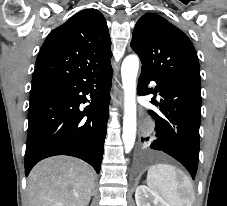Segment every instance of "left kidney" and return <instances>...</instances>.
Returning <instances> with one entry per match:
<instances>
[{
  "instance_id": "left-kidney-1",
  "label": "left kidney",
  "mask_w": 227,
  "mask_h": 206,
  "mask_svg": "<svg viewBox=\"0 0 227 206\" xmlns=\"http://www.w3.org/2000/svg\"><path fill=\"white\" fill-rule=\"evenodd\" d=\"M135 200L137 206H170L156 192L145 185H140L135 191Z\"/></svg>"
}]
</instances>
